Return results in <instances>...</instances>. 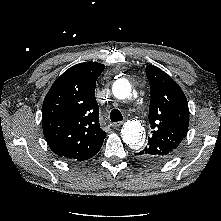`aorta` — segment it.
<instances>
[{
    "instance_id": "aorta-1",
    "label": "aorta",
    "mask_w": 221,
    "mask_h": 221,
    "mask_svg": "<svg viewBox=\"0 0 221 221\" xmlns=\"http://www.w3.org/2000/svg\"><path fill=\"white\" fill-rule=\"evenodd\" d=\"M113 95L118 99H126L131 95V85L126 79L115 81L112 87ZM121 137L125 144L132 149H140L144 144L143 128L138 121H127L121 130Z\"/></svg>"
}]
</instances>
